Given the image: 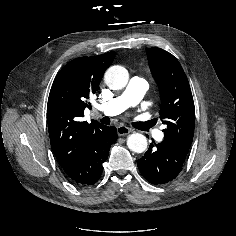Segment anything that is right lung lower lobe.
Wrapping results in <instances>:
<instances>
[{"instance_id": "obj_1", "label": "right lung lower lobe", "mask_w": 236, "mask_h": 236, "mask_svg": "<svg viewBox=\"0 0 236 236\" xmlns=\"http://www.w3.org/2000/svg\"><path fill=\"white\" fill-rule=\"evenodd\" d=\"M117 140L115 127L103 126L89 139L87 147L78 164L67 176L78 186H90L98 181L103 171V163L107 160L111 144Z\"/></svg>"}]
</instances>
